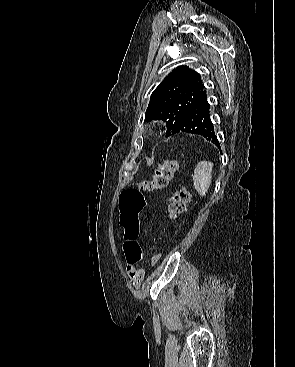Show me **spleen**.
I'll list each match as a JSON object with an SVG mask.
<instances>
[{"mask_svg": "<svg viewBox=\"0 0 295 367\" xmlns=\"http://www.w3.org/2000/svg\"><path fill=\"white\" fill-rule=\"evenodd\" d=\"M213 164L208 161H200L193 175L194 187L197 192L204 197L208 192L212 179Z\"/></svg>", "mask_w": 295, "mask_h": 367, "instance_id": "spleen-1", "label": "spleen"}]
</instances>
